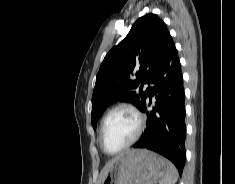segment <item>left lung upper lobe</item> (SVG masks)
Here are the masks:
<instances>
[{
  "label": "left lung upper lobe",
  "instance_id": "left-lung-upper-lobe-1",
  "mask_svg": "<svg viewBox=\"0 0 235 184\" xmlns=\"http://www.w3.org/2000/svg\"><path fill=\"white\" fill-rule=\"evenodd\" d=\"M170 33L166 24L155 14L140 17L128 35L105 56L96 77L92 96V126L113 102L132 103L141 109L148 83L165 38ZM136 76V79L132 77Z\"/></svg>",
  "mask_w": 235,
  "mask_h": 184
}]
</instances>
